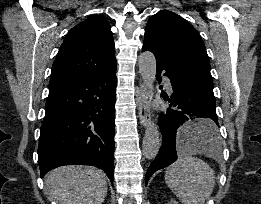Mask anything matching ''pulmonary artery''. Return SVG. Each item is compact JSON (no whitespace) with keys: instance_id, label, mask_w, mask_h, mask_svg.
<instances>
[{"instance_id":"pulmonary-artery-1","label":"pulmonary artery","mask_w":261,"mask_h":204,"mask_svg":"<svg viewBox=\"0 0 261 204\" xmlns=\"http://www.w3.org/2000/svg\"><path fill=\"white\" fill-rule=\"evenodd\" d=\"M164 83H165V85H166L168 91L171 92V91H172V86H171L170 79H169L168 77H165V78H164Z\"/></svg>"}]
</instances>
